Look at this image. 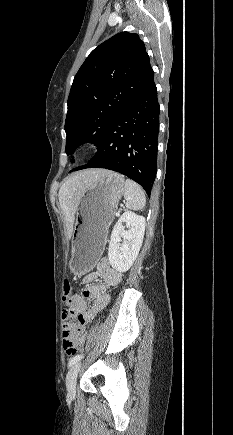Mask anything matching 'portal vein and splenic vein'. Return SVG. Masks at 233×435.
I'll use <instances>...</instances> for the list:
<instances>
[{
	"instance_id": "1",
	"label": "portal vein and splenic vein",
	"mask_w": 233,
	"mask_h": 435,
	"mask_svg": "<svg viewBox=\"0 0 233 435\" xmlns=\"http://www.w3.org/2000/svg\"><path fill=\"white\" fill-rule=\"evenodd\" d=\"M116 215L119 216L120 215L119 212H117Z\"/></svg>"
}]
</instances>
